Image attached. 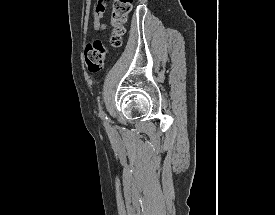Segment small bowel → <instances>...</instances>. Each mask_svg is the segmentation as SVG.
<instances>
[{
  "mask_svg": "<svg viewBox=\"0 0 275 215\" xmlns=\"http://www.w3.org/2000/svg\"><path fill=\"white\" fill-rule=\"evenodd\" d=\"M107 9V0H97L95 7L92 10L93 28L96 31H103L106 29V24L100 22Z\"/></svg>",
  "mask_w": 275,
  "mask_h": 215,
  "instance_id": "obj_1",
  "label": "small bowel"
}]
</instances>
